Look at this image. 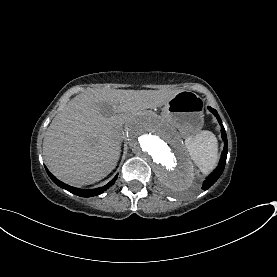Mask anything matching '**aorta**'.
<instances>
[{"label": "aorta", "mask_w": 277, "mask_h": 277, "mask_svg": "<svg viewBox=\"0 0 277 277\" xmlns=\"http://www.w3.org/2000/svg\"><path fill=\"white\" fill-rule=\"evenodd\" d=\"M131 149L154 170L159 182L171 191H184L194 180V168L175 130L159 116L146 113L129 125Z\"/></svg>", "instance_id": "aorta-1"}]
</instances>
